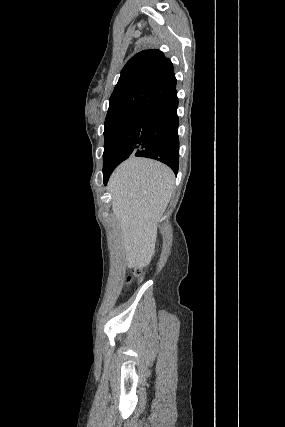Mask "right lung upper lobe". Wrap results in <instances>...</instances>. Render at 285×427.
<instances>
[{"label": "right lung upper lobe", "mask_w": 285, "mask_h": 427, "mask_svg": "<svg viewBox=\"0 0 285 427\" xmlns=\"http://www.w3.org/2000/svg\"><path fill=\"white\" fill-rule=\"evenodd\" d=\"M173 65L159 50H144L124 66L109 100L105 123L147 111L176 92Z\"/></svg>", "instance_id": "1"}]
</instances>
